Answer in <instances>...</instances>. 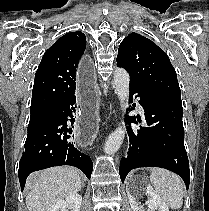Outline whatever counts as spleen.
<instances>
[{"instance_id":"spleen-1","label":"spleen","mask_w":209,"mask_h":211,"mask_svg":"<svg viewBox=\"0 0 209 211\" xmlns=\"http://www.w3.org/2000/svg\"><path fill=\"white\" fill-rule=\"evenodd\" d=\"M150 181L159 197L172 209L183 205L184 184L179 176L163 168L151 169Z\"/></svg>"}]
</instances>
